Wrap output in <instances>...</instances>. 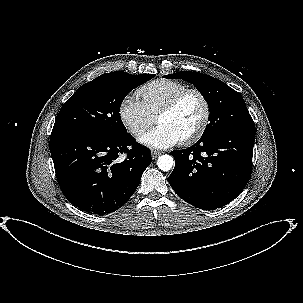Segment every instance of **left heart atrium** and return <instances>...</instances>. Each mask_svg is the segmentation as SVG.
<instances>
[{
	"mask_svg": "<svg viewBox=\"0 0 303 303\" xmlns=\"http://www.w3.org/2000/svg\"><path fill=\"white\" fill-rule=\"evenodd\" d=\"M180 137L168 126L158 124L140 138V142L146 146L164 149L180 142Z\"/></svg>",
	"mask_w": 303,
	"mask_h": 303,
	"instance_id": "left-heart-atrium-1",
	"label": "left heart atrium"
}]
</instances>
